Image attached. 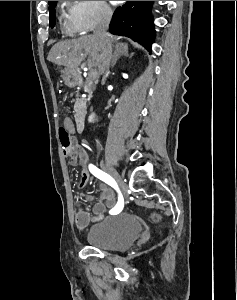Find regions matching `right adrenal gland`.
Masks as SVG:
<instances>
[{
	"label": "right adrenal gland",
	"instance_id": "2a0ac1e0",
	"mask_svg": "<svg viewBox=\"0 0 237 300\" xmlns=\"http://www.w3.org/2000/svg\"><path fill=\"white\" fill-rule=\"evenodd\" d=\"M121 55H126V57H128V47H126V45H124V43H123V45H116L110 67H114V65H116V63H117L119 57H121Z\"/></svg>",
	"mask_w": 237,
	"mask_h": 300
}]
</instances>
